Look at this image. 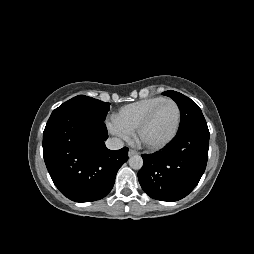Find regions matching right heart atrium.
<instances>
[{
  "instance_id": "obj_1",
  "label": "right heart atrium",
  "mask_w": 254,
  "mask_h": 254,
  "mask_svg": "<svg viewBox=\"0 0 254 254\" xmlns=\"http://www.w3.org/2000/svg\"><path fill=\"white\" fill-rule=\"evenodd\" d=\"M107 129L120 140L128 141L132 138V131L121 125L115 118L108 120Z\"/></svg>"
}]
</instances>
